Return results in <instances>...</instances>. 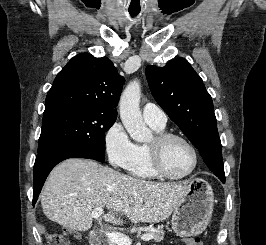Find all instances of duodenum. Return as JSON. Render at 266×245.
<instances>
[{
    "instance_id": "obj_1",
    "label": "duodenum",
    "mask_w": 266,
    "mask_h": 245,
    "mask_svg": "<svg viewBox=\"0 0 266 245\" xmlns=\"http://www.w3.org/2000/svg\"><path fill=\"white\" fill-rule=\"evenodd\" d=\"M90 245H101V241L95 233H91Z\"/></svg>"
}]
</instances>
